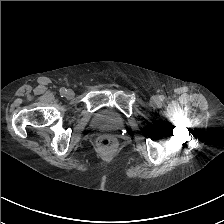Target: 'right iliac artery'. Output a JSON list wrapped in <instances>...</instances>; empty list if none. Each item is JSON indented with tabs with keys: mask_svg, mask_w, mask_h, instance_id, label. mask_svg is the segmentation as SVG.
<instances>
[{
	"mask_svg": "<svg viewBox=\"0 0 224 224\" xmlns=\"http://www.w3.org/2000/svg\"><path fill=\"white\" fill-rule=\"evenodd\" d=\"M66 88H64V87H62V88H60V94L61 95H64V94H66Z\"/></svg>",
	"mask_w": 224,
	"mask_h": 224,
	"instance_id": "1",
	"label": "right iliac artery"
}]
</instances>
